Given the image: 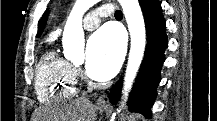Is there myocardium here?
Masks as SVG:
<instances>
[{"label": "myocardium", "instance_id": "myocardium-1", "mask_svg": "<svg viewBox=\"0 0 217 121\" xmlns=\"http://www.w3.org/2000/svg\"><path fill=\"white\" fill-rule=\"evenodd\" d=\"M78 71L81 72L80 68H78Z\"/></svg>", "mask_w": 217, "mask_h": 121}]
</instances>
